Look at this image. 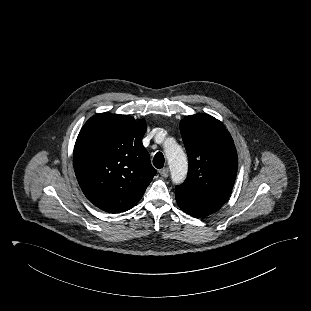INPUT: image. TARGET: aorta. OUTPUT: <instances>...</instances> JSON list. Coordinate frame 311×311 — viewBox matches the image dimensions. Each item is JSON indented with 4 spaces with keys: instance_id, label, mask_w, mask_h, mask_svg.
<instances>
[{
    "instance_id": "obj_1",
    "label": "aorta",
    "mask_w": 311,
    "mask_h": 311,
    "mask_svg": "<svg viewBox=\"0 0 311 311\" xmlns=\"http://www.w3.org/2000/svg\"><path fill=\"white\" fill-rule=\"evenodd\" d=\"M170 144L165 145V154L171 171V180L174 184L182 183L187 175V158L183 149L173 139L167 140Z\"/></svg>"
}]
</instances>
